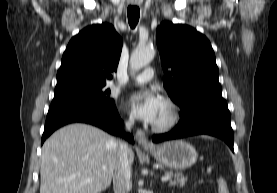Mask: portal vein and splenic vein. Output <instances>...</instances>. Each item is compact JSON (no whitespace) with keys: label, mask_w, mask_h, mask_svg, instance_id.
<instances>
[{"label":"portal vein and splenic vein","mask_w":277,"mask_h":193,"mask_svg":"<svg viewBox=\"0 0 277 193\" xmlns=\"http://www.w3.org/2000/svg\"><path fill=\"white\" fill-rule=\"evenodd\" d=\"M161 180H162L163 182H165V181L170 180V177H169V176H163V177L161 178Z\"/></svg>","instance_id":"1"}]
</instances>
